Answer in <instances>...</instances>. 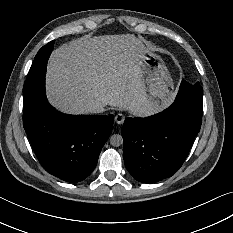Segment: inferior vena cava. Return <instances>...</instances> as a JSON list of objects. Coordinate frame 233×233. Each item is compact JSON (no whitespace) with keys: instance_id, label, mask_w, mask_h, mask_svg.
Here are the masks:
<instances>
[{"instance_id":"602c4592","label":"inferior vena cava","mask_w":233,"mask_h":233,"mask_svg":"<svg viewBox=\"0 0 233 233\" xmlns=\"http://www.w3.org/2000/svg\"><path fill=\"white\" fill-rule=\"evenodd\" d=\"M103 107L101 102H97L90 107L89 111L90 113H103L105 111Z\"/></svg>"}]
</instances>
